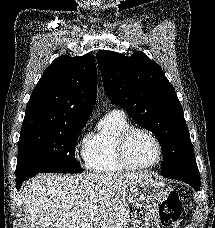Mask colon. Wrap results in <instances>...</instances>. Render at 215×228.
Listing matches in <instances>:
<instances>
[{"label": "colon", "mask_w": 215, "mask_h": 228, "mask_svg": "<svg viewBox=\"0 0 215 228\" xmlns=\"http://www.w3.org/2000/svg\"><path fill=\"white\" fill-rule=\"evenodd\" d=\"M182 212V202L176 192H171L159 207L160 222L164 228H174Z\"/></svg>", "instance_id": "colon-1"}]
</instances>
